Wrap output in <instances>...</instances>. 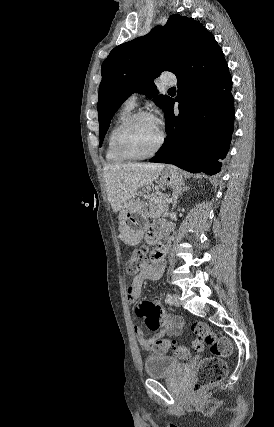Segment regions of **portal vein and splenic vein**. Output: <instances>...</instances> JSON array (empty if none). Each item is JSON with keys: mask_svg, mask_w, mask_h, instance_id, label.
<instances>
[{"mask_svg": "<svg viewBox=\"0 0 274 427\" xmlns=\"http://www.w3.org/2000/svg\"><path fill=\"white\" fill-rule=\"evenodd\" d=\"M168 202H172V200H168Z\"/></svg>", "mask_w": 274, "mask_h": 427, "instance_id": "portal-vein-and-splenic-vein-1", "label": "portal vein and splenic vein"}]
</instances>
